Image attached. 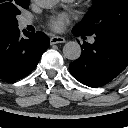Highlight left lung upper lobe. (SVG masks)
Segmentation results:
<instances>
[{
	"label": "left lung upper lobe",
	"mask_w": 128,
	"mask_h": 128,
	"mask_svg": "<svg viewBox=\"0 0 128 128\" xmlns=\"http://www.w3.org/2000/svg\"><path fill=\"white\" fill-rule=\"evenodd\" d=\"M75 29L86 35L128 34V0H94V6Z\"/></svg>",
	"instance_id": "left-lung-upper-lobe-1"
}]
</instances>
